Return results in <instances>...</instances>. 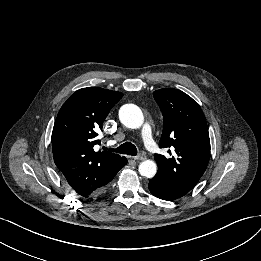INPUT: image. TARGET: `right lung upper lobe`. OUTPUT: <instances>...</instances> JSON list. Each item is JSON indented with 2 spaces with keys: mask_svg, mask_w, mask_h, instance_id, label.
<instances>
[{
  "mask_svg": "<svg viewBox=\"0 0 261 261\" xmlns=\"http://www.w3.org/2000/svg\"><path fill=\"white\" fill-rule=\"evenodd\" d=\"M122 96L100 87L80 89L63 104L56 118L51 137L54 162L82 198L101 191L126 161L118 154L94 150V145L100 144L96 131L102 129Z\"/></svg>",
  "mask_w": 261,
  "mask_h": 261,
  "instance_id": "1",
  "label": "right lung upper lobe"
}]
</instances>
